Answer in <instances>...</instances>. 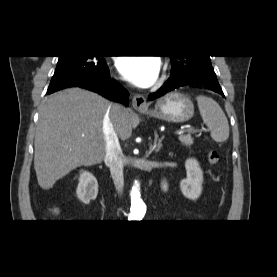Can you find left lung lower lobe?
I'll return each mask as SVG.
<instances>
[{"instance_id":"0a47b994","label":"left lung lower lobe","mask_w":277,"mask_h":277,"mask_svg":"<svg viewBox=\"0 0 277 277\" xmlns=\"http://www.w3.org/2000/svg\"><path fill=\"white\" fill-rule=\"evenodd\" d=\"M187 85H200L224 96L214 71H198L189 74L171 75L157 92L149 95V99L154 100L174 89Z\"/></svg>"}]
</instances>
